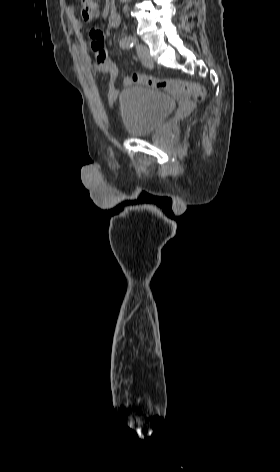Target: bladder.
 Instances as JSON below:
<instances>
[{
    "instance_id": "bladder-1",
    "label": "bladder",
    "mask_w": 280,
    "mask_h": 472,
    "mask_svg": "<svg viewBox=\"0 0 280 472\" xmlns=\"http://www.w3.org/2000/svg\"><path fill=\"white\" fill-rule=\"evenodd\" d=\"M118 107L127 135L138 138L157 131L176 108L169 95L142 86H129L118 97Z\"/></svg>"
}]
</instances>
